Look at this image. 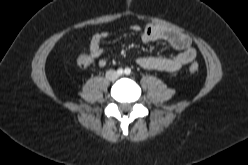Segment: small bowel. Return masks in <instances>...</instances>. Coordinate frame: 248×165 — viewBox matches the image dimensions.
Returning <instances> with one entry per match:
<instances>
[{
	"label": "small bowel",
	"mask_w": 248,
	"mask_h": 165,
	"mask_svg": "<svg viewBox=\"0 0 248 165\" xmlns=\"http://www.w3.org/2000/svg\"><path fill=\"white\" fill-rule=\"evenodd\" d=\"M130 30L132 32L141 31V40L145 43L163 41L178 51V53L172 57H138L136 63L141 68L173 73L186 67L196 58V50L192 46L191 39L185 34L156 24H149L143 29L139 25H133ZM109 36L110 32L104 30L95 33L89 41L88 54L92 60L98 59L97 64L99 67H105L110 61L109 57H102L105 53V49L101 45L102 41Z\"/></svg>",
	"instance_id": "obj_1"
}]
</instances>
